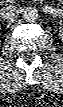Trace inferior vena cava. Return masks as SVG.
Here are the masks:
<instances>
[{"label": "inferior vena cava", "instance_id": "1", "mask_svg": "<svg viewBox=\"0 0 63 107\" xmlns=\"http://www.w3.org/2000/svg\"><path fill=\"white\" fill-rule=\"evenodd\" d=\"M18 13L16 6L8 5L0 9V17L3 20H12Z\"/></svg>", "mask_w": 63, "mask_h": 107}]
</instances>
